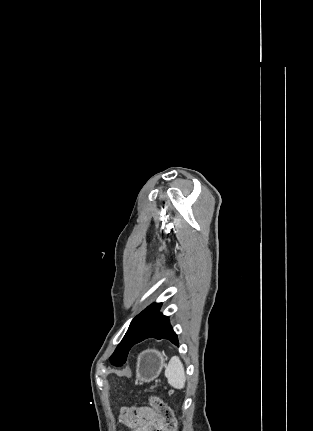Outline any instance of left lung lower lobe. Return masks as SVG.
I'll use <instances>...</instances> for the list:
<instances>
[{"label": "left lung lower lobe", "mask_w": 313, "mask_h": 431, "mask_svg": "<svg viewBox=\"0 0 313 431\" xmlns=\"http://www.w3.org/2000/svg\"><path fill=\"white\" fill-rule=\"evenodd\" d=\"M148 338H156V339H168L173 344L178 345V338L176 333L173 331V328L170 325L169 319L167 316H164L162 313H156L141 329L135 340L133 341V345L139 342H142Z\"/></svg>", "instance_id": "obj_1"}]
</instances>
